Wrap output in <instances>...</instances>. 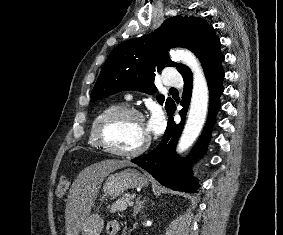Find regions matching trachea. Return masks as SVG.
Returning <instances> with one entry per match:
<instances>
[{"mask_svg": "<svg viewBox=\"0 0 283 235\" xmlns=\"http://www.w3.org/2000/svg\"><path fill=\"white\" fill-rule=\"evenodd\" d=\"M171 90H173V91H177L175 88H171Z\"/></svg>", "mask_w": 283, "mask_h": 235, "instance_id": "trachea-1", "label": "trachea"}]
</instances>
